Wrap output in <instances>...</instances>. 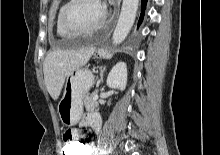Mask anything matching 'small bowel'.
<instances>
[{"label": "small bowel", "mask_w": 220, "mask_h": 155, "mask_svg": "<svg viewBox=\"0 0 220 155\" xmlns=\"http://www.w3.org/2000/svg\"><path fill=\"white\" fill-rule=\"evenodd\" d=\"M80 125L82 127H91L94 132L98 133L101 126V119L96 113H88L82 118ZM62 135H64L61 137L62 141H75L76 139H80L78 126H64ZM86 149L85 155H94L95 148L93 145L89 144Z\"/></svg>", "instance_id": "small-bowel-1"}]
</instances>
